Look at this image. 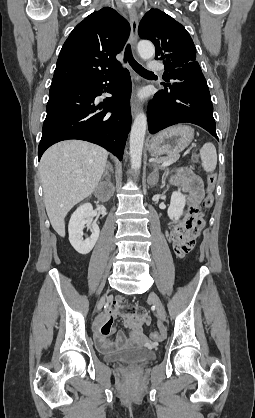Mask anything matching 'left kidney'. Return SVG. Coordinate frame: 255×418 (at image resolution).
Returning a JSON list of instances; mask_svg holds the SVG:
<instances>
[{"label": "left kidney", "mask_w": 255, "mask_h": 418, "mask_svg": "<svg viewBox=\"0 0 255 418\" xmlns=\"http://www.w3.org/2000/svg\"><path fill=\"white\" fill-rule=\"evenodd\" d=\"M185 201V195H183L179 190L172 193L170 206L167 211L171 220H178L183 214Z\"/></svg>", "instance_id": "1"}]
</instances>
